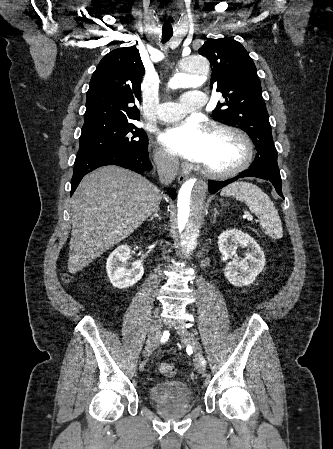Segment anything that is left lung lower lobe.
<instances>
[{"label": "left lung lower lobe", "mask_w": 333, "mask_h": 449, "mask_svg": "<svg viewBox=\"0 0 333 449\" xmlns=\"http://www.w3.org/2000/svg\"><path fill=\"white\" fill-rule=\"evenodd\" d=\"M242 177H257L265 180H269L275 187L277 193L283 197L282 191H281V176L280 171H273L269 169H256L253 167H249L248 170L242 172L238 176L222 182H216V181H209V192L214 194L219 189L223 188L224 186L236 181L239 178ZM284 198V197H283Z\"/></svg>", "instance_id": "left-lung-lower-lobe-1"}]
</instances>
